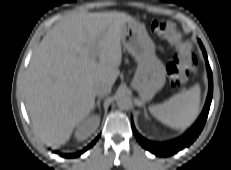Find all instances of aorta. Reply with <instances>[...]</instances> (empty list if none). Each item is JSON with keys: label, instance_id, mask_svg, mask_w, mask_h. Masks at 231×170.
Instances as JSON below:
<instances>
[{"label": "aorta", "instance_id": "obj_1", "mask_svg": "<svg viewBox=\"0 0 231 170\" xmlns=\"http://www.w3.org/2000/svg\"><path fill=\"white\" fill-rule=\"evenodd\" d=\"M116 102H117V106L123 110H128L132 107V100L126 94H119L117 96Z\"/></svg>", "mask_w": 231, "mask_h": 170}]
</instances>
